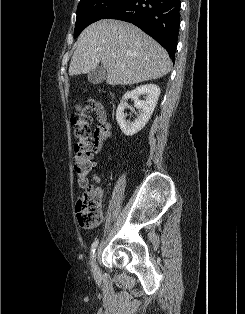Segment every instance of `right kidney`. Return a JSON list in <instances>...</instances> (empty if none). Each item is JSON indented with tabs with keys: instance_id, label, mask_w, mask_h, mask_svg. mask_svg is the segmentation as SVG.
I'll return each mask as SVG.
<instances>
[{
	"instance_id": "ca27d5eb",
	"label": "right kidney",
	"mask_w": 245,
	"mask_h": 314,
	"mask_svg": "<svg viewBox=\"0 0 245 314\" xmlns=\"http://www.w3.org/2000/svg\"><path fill=\"white\" fill-rule=\"evenodd\" d=\"M140 95H144L145 99L139 100ZM159 96L160 88L155 84L142 85L124 94L116 110V120L126 136H133L145 127L156 107ZM127 99L134 100L135 107L139 109V114L134 122H128L125 118L123 101Z\"/></svg>"
}]
</instances>
